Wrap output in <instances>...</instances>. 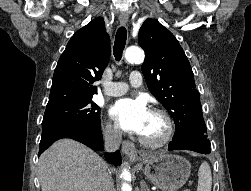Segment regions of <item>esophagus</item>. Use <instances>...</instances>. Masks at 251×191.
I'll use <instances>...</instances> for the list:
<instances>
[{
	"mask_svg": "<svg viewBox=\"0 0 251 191\" xmlns=\"http://www.w3.org/2000/svg\"><path fill=\"white\" fill-rule=\"evenodd\" d=\"M128 19H129L128 13L125 12L120 13L119 22L121 23V25H125L128 22ZM122 151L129 160H131L132 162L136 161L137 157L135 152V145L134 143H132V141H130L129 139L123 141Z\"/></svg>",
	"mask_w": 251,
	"mask_h": 191,
	"instance_id": "1",
	"label": "esophagus"
}]
</instances>
